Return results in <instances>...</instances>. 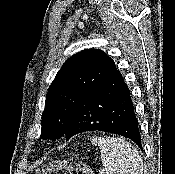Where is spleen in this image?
I'll list each match as a JSON object with an SVG mask.
<instances>
[{
	"mask_svg": "<svg viewBox=\"0 0 175 174\" xmlns=\"http://www.w3.org/2000/svg\"><path fill=\"white\" fill-rule=\"evenodd\" d=\"M91 142L98 145L102 165L106 174H142L143 162L138 151L123 138L92 137Z\"/></svg>",
	"mask_w": 175,
	"mask_h": 174,
	"instance_id": "3e777b00",
	"label": "spleen"
}]
</instances>
